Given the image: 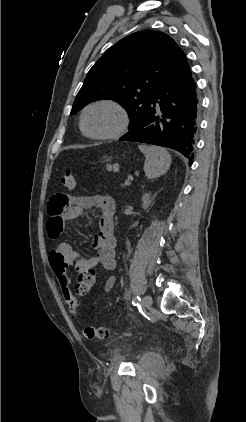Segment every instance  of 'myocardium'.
<instances>
[{
    "label": "myocardium",
    "instance_id": "f54148a6",
    "mask_svg": "<svg viewBox=\"0 0 246 422\" xmlns=\"http://www.w3.org/2000/svg\"><path fill=\"white\" fill-rule=\"evenodd\" d=\"M101 105H106V106H110L114 108L119 114L120 121L117 128L109 133L92 134L85 128V124H84L85 115L91 108H94L96 106H101ZM129 124H130V117L126 108L121 103L113 99H99V100L89 103L83 108L80 114V118H79L80 130L86 137L93 140H111V139L118 138L127 131Z\"/></svg>",
    "mask_w": 246,
    "mask_h": 422
}]
</instances>
